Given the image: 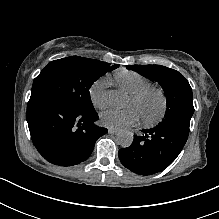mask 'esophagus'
I'll return each mask as SVG.
<instances>
[{
	"label": "esophagus",
	"mask_w": 219,
	"mask_h": 219,
	"mask_svg": "<svg viewBox=\"0 0 219 219\" xmlns=\"http://www.w3.org/2000/svg\"><path fill=\"white\" fill-rule=\"evenodd\" d=\"M108 133H109V134H112V135H117V134L119 133V131H118V130H115V129H109V130H108Z\"/></svg>",
	"instance_id": "34e87169"
}]
</instances>
